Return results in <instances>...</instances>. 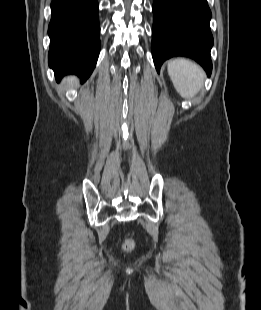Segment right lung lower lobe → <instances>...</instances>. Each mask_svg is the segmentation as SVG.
I'll return each instance as SVG.
<instances>
[{
  "label": "right lung lower lobe",
  "mask_w": 261,
  "mask_h": 310,
  "mask_svg": "<svg viewBox=\"0 0 261 310\" xmlns=\"http://www.w3.org/2000/svg\"><path fill=\"white\" fill-rule=\"evenodd\" d=\"M49 66L57 81L77 74L85 82L100 52L97 0H52Z\"/></svg>",
  "instance_id": "1"
}]
</instances>
